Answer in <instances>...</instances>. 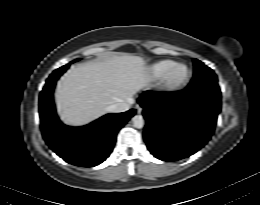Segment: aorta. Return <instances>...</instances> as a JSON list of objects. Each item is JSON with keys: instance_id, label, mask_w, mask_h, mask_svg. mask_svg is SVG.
Listing matches in <instances>:
<instances>
[{"instance_id": "1", "label": "aorta", "mask_w": 260, "mask_h": 205, "mask_svg": "<svg viewBox=\"0 0 260 205\" xmlns=\"http://www.w3.org/2000/svg\"><path fill=\"white\" fill-rule=\"evenodd\" d=\"M132 121H133V126L135 128H138V129L143 128V126H144V119H143V117L141 115H135L132 118Z\"/></svg>"}]
</instances>
